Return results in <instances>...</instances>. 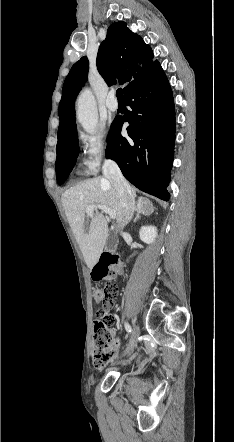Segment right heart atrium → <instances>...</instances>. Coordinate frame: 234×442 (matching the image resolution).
Masks as SVG:
<instances>
[{
    "label": "right heart atrium",
    "mask_w": 234,
    "mask_h": 442,
    "mask_svg": "<svg viewBox=\"0 0 234 442\" xmlns=\"http://www.w3.org/2000/svg\"><path fill=\"white\" fill-rule=\"evenodd\" d=\"M85 165L92 173H96L102 162L109 156L110 146L104 131L82 135Z\"/></svg>",
    "instance_id": "obj_1"
}]
</instances>
